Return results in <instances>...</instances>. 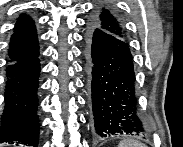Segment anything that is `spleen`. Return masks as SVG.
Returning a JSON list of instances; mask_svg holds the SVG:
<instances>
[{"instance_id": "obj_1", "label": "spleen", "mask_w": 183, "mask_h": 147, "mask_svg": "<svg viewBox=\"0 0 183 147\" xmlns=\"http://www.w3.org/2000/svg\"><path fill=\"white\" fill-rule=\"evenodd\" d=\"M118 147H146L144 144L130 139L122 140Z\"/></svg>"}]
</instances>
